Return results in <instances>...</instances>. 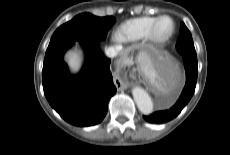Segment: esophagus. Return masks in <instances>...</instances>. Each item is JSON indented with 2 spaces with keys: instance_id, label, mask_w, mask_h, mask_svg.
I'll return each mask as SVG.
<instances>
[{
  "instance_id": "obj_1",
  "label": "esophagus",
  "mask_w": 230,
  "mask_h": 155,
  "mask_svg": "<svg viewBox=\"0 0 230 155\" xmlns=\"http://www.w3.org/2000/svg\"><path fill=\"white\" fill-rule=\"evenodd\" d=\"M122 66V64H120ZM114 83L116 85L117 90H124L128 87V82L123 81L120 76L115 77Z\"/></svg>"
}]
</instances>
